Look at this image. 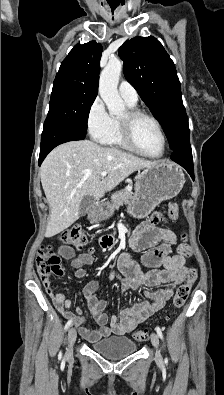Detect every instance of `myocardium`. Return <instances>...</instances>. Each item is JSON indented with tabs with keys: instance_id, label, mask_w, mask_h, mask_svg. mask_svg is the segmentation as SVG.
Returning <instances> with one entry per match:
<instances>
[{
	"instance_id": "obj_1",
	"label": "myocardium",
	"mask_w": 224,
	"mask_h": 395,
	"mask_svg": "<svg viewBox=\"0 0 224 395\" xmlns=\"http://www.w3.org/2000/svg\"><path fill=\"white\" fill-rule=\"evenodd\" d=\"M141 118H146L151 120L155 124L156 128L160 133V136L163 141V148H162V152L159 155H152L145 152L136 141L134 127L136 122ZM119 121H120V130H121L122 138L130 149H132L133 151H135L140 155L153 159H160L165 155L167 149V137L162 128L160 121L154 115L144 110L132 108L129 109L126 112V115L124 117H121Z\"/></svg>"
}]
</instances>
